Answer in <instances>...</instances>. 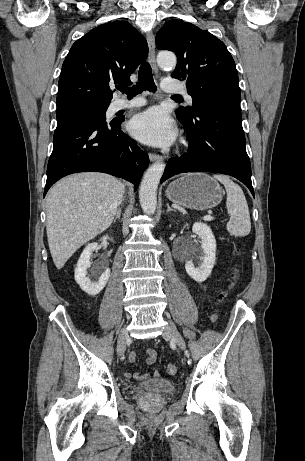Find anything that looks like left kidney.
Listing matches in <instances>:
<instances>
[{
    "label": "left kidney",
    "mask_w": 305,
    "mask_h": 461,
    "mask_svg": "<svg viewBox=\"0 0 305 461\" xmlns=\"http://www.w3.org/2000/svg\"><path fill=\"white\" fill-rule=\"evenodd\" d=\"M192 231L201 239V247L198 248L196 244L186 246L189 260L185 263V269L190 277L196 282L201 283L208 278L214 267L216 260V240L211 228L204 223H195ZM196 254H199L202 260L199 267H195L193 263V258Z\"/></svg>",
    "instance_id": "left-kidney-1"
}]
</instances>
